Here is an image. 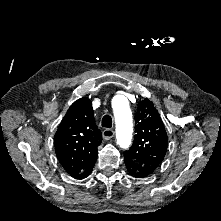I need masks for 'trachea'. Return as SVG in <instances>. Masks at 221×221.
<instances>
[{"mask_svg": "<svg viewBox=\"0 0 221 221\" xmlns=\"http://www.w3.org/2000/svg\"><path fill=\"white\" fill-rule=\"evenodd\" d=\"M102 126L105 128L112 127V118L109 115H105L102 119Z\"/></svg>", "mask_w": 221, "mask_h": 221, "instance_id": "3493384b", "label": "trachea"}]
</instances>
